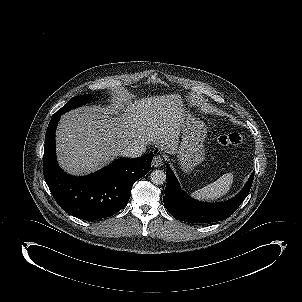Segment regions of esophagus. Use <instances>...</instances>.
Returning a JSON list of instances; mask_svg holds the SVG:
<instances>
[{"instance_id":"obj_1","label":"esophagus","mask_w":302,"mask_h":302,"mask_svg":"<svg viewBox=\"0 0 302 302\" xmlns=\"http://www.w3.org/2000/svg\"><path fill=\"white\" fill-rule=\"evenodd\" d=\"M163 162H164V160H163L162 156L156 155V156L153 158L152 165H153L154 167H160V166L163 165Z\"/></svg>"}]
</instances>
